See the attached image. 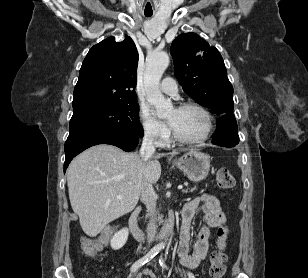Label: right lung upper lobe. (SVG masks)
I'll return each mask as SVG.
<instances>
[{"label":"right lung upper lobe","mask_w":308,"mask_h":278,"mask_svg":"<svg viewBox=\"0 0 308 278\" xmlns=\"http://www.w3.org/2000/svg\"><path fill=\"white\" fill-rule=\"evenodd\" d=\"M138 52L133 40L109 37L85 57L73 95V115L117 104L137 103Z\"/></svg>","instance_id":"cb5924a9"}]
</instances>
